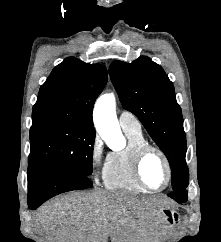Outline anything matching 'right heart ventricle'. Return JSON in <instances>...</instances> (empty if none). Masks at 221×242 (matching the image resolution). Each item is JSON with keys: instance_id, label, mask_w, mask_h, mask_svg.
I'll return each mask as SVG.
<instances>
[{"instance_id": "1", "label": "right heart ventricle", "mask_w": 221, "mask_h": 242, "mask_svg": "<svg viewBox=\"0 0 221 242\" xmlns=\"http://www.w3.org/2000/svg\"><path fill=\"white\" fill-rule=\"evenodd\" d=\"M127 139V146L118 151L108 153L103 166V181L108 189L122 190L135 193H146L148 190L135 179L132 170V156L134 150L146 144L142 131L123 129Z\"/></svg>"}]
</instances>
